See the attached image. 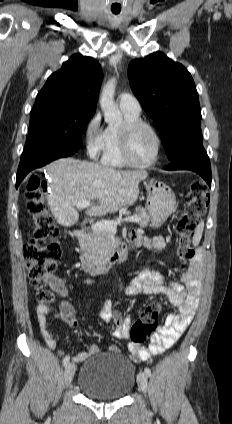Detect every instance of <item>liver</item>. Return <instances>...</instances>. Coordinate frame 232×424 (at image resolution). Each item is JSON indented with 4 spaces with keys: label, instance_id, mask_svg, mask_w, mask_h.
Masks as SVG:
<instances>
[{
    "label": "liver",
    "instance_id": "liver-1",
    "mask_svg": "<svg viewBox=\"0 0 232 424\" xmlns=\"http://www.w3.org/2000/svg\"><path fill=\"white\" fill-rule=\"evenodd\" d=\"M51 192L47 204L55 220L70 227L79 219L76 203L94 201L89 216H103L132 205L139 195V183L146 171H120L74 158H60L46 167Z\"/></svg>",
    "mask_w": 232,
    "mask_h": 424
}]
</instances>
